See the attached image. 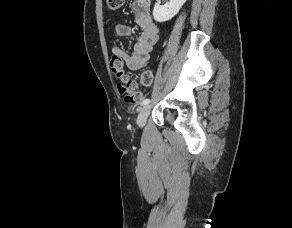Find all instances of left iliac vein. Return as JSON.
<instances>
[{
  "mask_svg": "<svg viewBox=\"0 0 292 228\" xmlns=\"http://www.w3.org/2000/svg\"><path fill=\"white\" fill-rule=\"evenodd\" d=\"M151 111V105L147 104L144 105L141 109L140 112L138 114V118H137V124L139 127H143L147 121V118L150 114Z\"/></svg>",
  "mask_w": 292,
  "mask_h": 228,
  "instance_id": "left-iliac-vein-1",
  "label": "left iliac vein"
}]
</instances>
